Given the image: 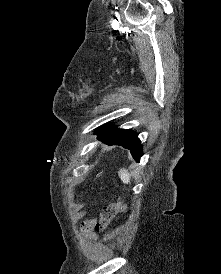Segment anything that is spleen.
<instances>
[{"mask_svg":"<svg viewBox=\"0 0 221 274\" xmlns=\"http://www.w3.org/2000/svg\"><path fill=\"white\" fill-rule=\"evenodd\" d=\"M120 179L124 184H129L130 183V175L125 169H120L118 172Z\"/></svg>","mask_w":221,"mask_h":274,"instance_id":"obj_1","label":"spleen"}]
</instances>
